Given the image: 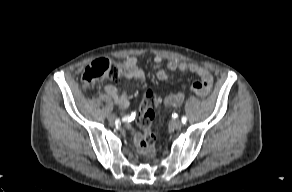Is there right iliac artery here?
<instances>
[{"label":"right iliac artery","mask_w":292,"mask_h":192,"mask_svg":"<svg viewBox=\"0 0 292 192\" xmlns=\"http://www.w3.org/2000/svg\"><path fill=\"white\" fill-rule=\"evenodd\" d=\"M136 116H138V111L132 110L129 115H125L124 117H121V123H126L130 121L131 123H134L136 121Z\"/></svg>","instance_id":"right-iliac-artery-1"}]
</instances>
